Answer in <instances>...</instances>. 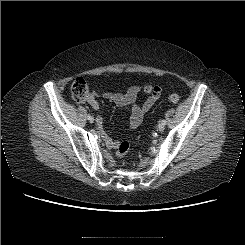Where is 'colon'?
Segmentation results:
<instances>
[{
  "label": "colon",
  "mask_w": 245,
  "mask_h": 245,
  "mask_svg": "<svg viewBox=\"0 0 245 245\" xmlns=\"http://www.w3.org/2000/svg\"><path fill=\"white\" fill-rule=\"evenodd\" d=\"M71 95L74 100L82 102L89 97V85L83 77L76 78L71 84ZM168 100L171 103H177L179 101V96L172 94L169 96ZM130 151V145L128 142H120L116 146V155L118 158H124Z\"/></svg>",
  "instance_id": "1"
}]
</instances>
